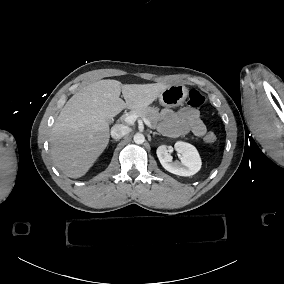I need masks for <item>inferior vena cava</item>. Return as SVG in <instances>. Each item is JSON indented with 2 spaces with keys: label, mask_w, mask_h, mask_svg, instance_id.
Segmentation results:
<instances>
[{
  "label": "inferior vena cava",
  "mask_w": 284,
  "mask_h": 284,
  "mask_svg": "<svg viewBox=\"0 0 284 284\" xmlns=\"http://www.w3.org/2000/svg\"><path fill=\"white\" fill-rule=\"evenodd\" d=\"M130 131L129 127L122 124H116L111 128V136L117 140L128 134Z\"/></svg>",
  "instance_id": "1"
}]
</instances>
